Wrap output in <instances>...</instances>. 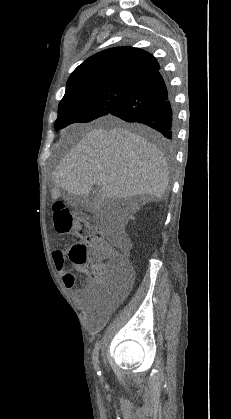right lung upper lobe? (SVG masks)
Segmentation results:
<instances>
[{"label": "right lung upper lobe", "mask_w": 231, "mask_h": 419, "mask_svg": "<svg viewBox=\"0 0 231 419\" xmlns=\"http://www.w3.org/2000/svg\"><path fill=\"white\" fill-rule=\"evenodd\" d=\"M159 68L156 59L142 49H107L89 57L73 71L67 81L64 97L82 88L104 85L133 87L142 77Z\"/></svg>", "instance_id": "1"}]
</instances>
